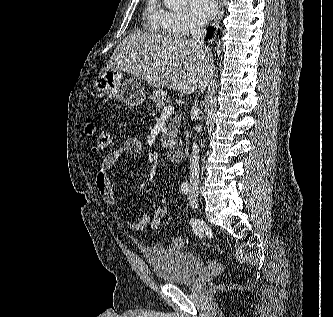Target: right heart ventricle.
I'll use <instances>...</instances> for the list:
<instances>
[{"label": "right heart ventricle", "instance_id": "e07e8e85", "mask_svg": "<svg viewBox=\"0 0 333 317\" xmlns=\"http://www.w3.org/2000/svg\"><path fill=\"white\" fill-rule=\"evenodd\" d=\"M169 12L162 6L160 0H146L143 19L146 29L157 34H169Z\"/></svg>", "mask_w": 333, "mask_h": 317}]
</instances>
